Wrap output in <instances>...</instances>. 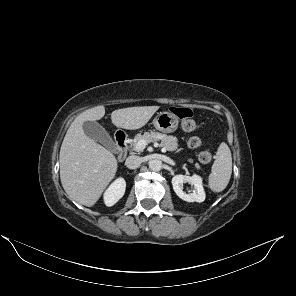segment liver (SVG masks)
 Here are the masks:
<instances>
[{
    "label": "liver",
    "mask_w": 296,
    "mask_h": 296,
    "mask_svg": "<svg viewBox=\"0 0 296 296\" xmlns=\"http://www.w3.org/2000/svg\"><path fill=\"white\" fill-rule=\"evenodd\" d=\"M159 106L128 107L111 113L112 123L128 130L143 127ZM103 105L78 115L70 125L60 148V179L71 200L93 206L115 177L118 162L111 151L89 138L83 130L85 121L100 120Z\"/></svg>",
    "instance_id": "6515ba94"
}]
</instances>
